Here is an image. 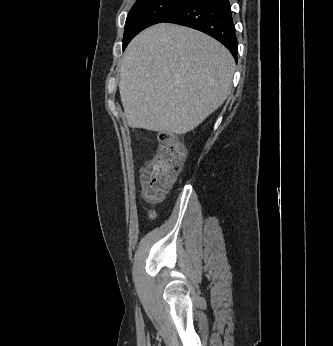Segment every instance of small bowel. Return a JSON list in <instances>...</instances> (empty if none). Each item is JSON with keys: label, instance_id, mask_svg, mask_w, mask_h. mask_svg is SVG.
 <instances>
[{"label": "small bowel", "instance_id": "small-bowel-1", "mask_svg": "<svg viewBox=\"0 0 333 346\" xmlns=\"http://www.w3.org/2000/svg\"><path fill=\"white\" fill-rule=\"evenodd\" d=\"M143 209L146 211L149 219L154 220L156 218V213L153 210H151L147 206H144Z\"/></svg>", "mask_w": 333, "mask_h": 346}]
</instances>
